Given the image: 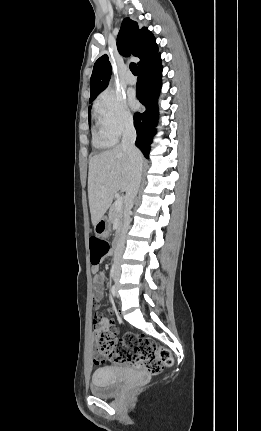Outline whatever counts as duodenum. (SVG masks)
<instances>
[{
	"instance_id": "1",
	"label": "duodenum",
	"mask_w": 261,
	"mask_h": 431,
	"mask_svg": "<svg viewBox=\"0 0 261 431\" xmlns=\"http://www.w3.org/2000/svg\"><path fill=\"white\" fill-rule=\"evenodd\" d=\"M119 239H120V237H118V238L116 239V241L114 242V247H115V248L119 245Z\"/></svg>"
}]
</instances>
